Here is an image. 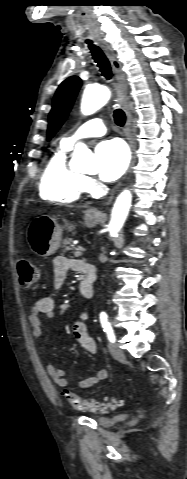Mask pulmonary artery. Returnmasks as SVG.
I'll list each match as a JSON object with an SVG mask.
<instances>
[{
  "instance_id": "1",
  "label": "pulmonary artery",
  "mask_w": 187,
  "mask_h": 479,
  "mask_svg": "<svg viewBox=\"0 0 187 479\" xmlns=\"http://www.w3.org/2000/svg\"><path fill=\"white\" fill-rule=\"evenodd\" d=\"M106 132L105 122L102 118H92L81 126H79L73 133L62 139V142L67 146H72L80 139L87 137L101 136Z\"/></svg>"
}]
</instances>
